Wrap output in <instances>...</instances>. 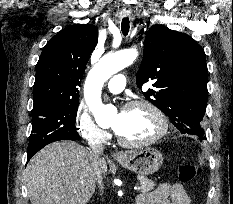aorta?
<instances>
[{
    "label": "aorta",
    "mask_w": 233,
    "mask_h": 204,
    "mask_svg": "<svg viewBox=\"0 0 233 204\" xmlns=\"http://www.w3.org/2000/svg\"><path fill=\"white\" fill-rule=\"evenodd\" d=\"M138 53L133 50L119 51L103 56L89 72L84 85V98L98 125L108 124L116 113V108L104 105L101 100V90L113 74L131 65Z\"/></svg>",
    "instance_id": "762f6f07"
}]
</instances>
